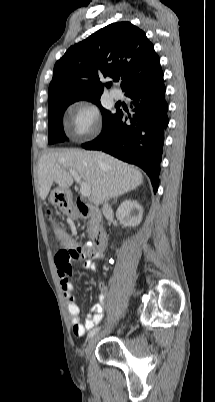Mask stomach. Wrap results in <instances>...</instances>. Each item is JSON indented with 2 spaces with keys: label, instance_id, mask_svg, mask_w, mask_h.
Listing matches in <instances>:
<instances>
[{
  "label": "stomach",
  "instance_id": "0dacf381",
  "mask_svg": "<svg viewBox=\"0 0 215 402\" xmlns=\"http://www.w3.org/2000/svg\"><path fill=\"white\" fill-rule=\"evenodd\" d=\"M50 202L58 207L64 214H71L73 211L70 191L68 189L55 188L51 191Z\"/></svg>",
  "mask_w": 215,
  "mask_h": 402
}]
</instances>
